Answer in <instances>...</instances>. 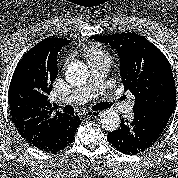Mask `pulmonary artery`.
<instances>
[{
  "label": "pulmonary artery",
  "instance_id": "e3ab8cb5",
  "mask_svg": "<svg viewBox=\"0 0 178 178\" xmlns=\"http://www.w3.org/2000/svg\"><path fill=\"white\" fill-rule=\"evenodd\" d=\"M88 67V82L75 89L73 93L65 99L66 102L82 104L98 96H104L114 100L119 98L117 93L112 94V92L109 91L111 84L105 80L110 67V59L90 60L88 61ZM117 108L124 113L131 110L130 104L123 101L117 105Z\"/></svg>",
  "mask_w": 178,
  "mask_h": 178
}]
</instances>
